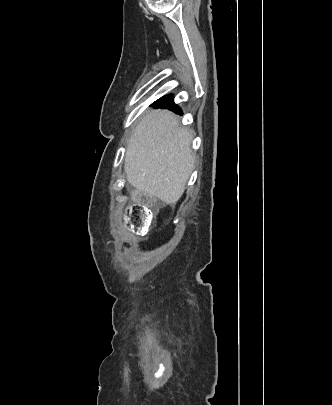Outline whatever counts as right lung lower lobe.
I'll list each match as a JSON object with an SVG mask.
<instances>
[{
  "mask_svg": "<svg viewBox=\"0 0 332 405\" xmlns=\"http://www.w3.org/2000/svg\"><path fill=\"white\" fill-rule=\"evenodd\" d=\"M152 106L154 108L169 109L178 114L182 113L181 109L177 105H175L172 95H167V96H164V97L158 99L157 101H155L152 104Z\"/></svg>",
  "mask_w": 332,
  "mask_h": 405,
  "instance_id": "right-lung-lower-lobe-1",
  "label": "right lung lower lobe"
}]
</instances>
